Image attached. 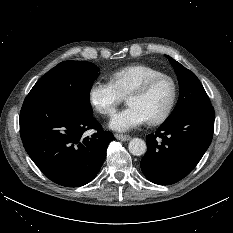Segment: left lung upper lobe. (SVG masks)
Wrapping results in <instances>:
<instances>
[{
    "label": "left lung upper lobe",
    "mask_w": 233,
    "mask_h": 233,
    "mask_svg": "<svg viewBox=\"0 0 233 233\" xmlns=\"http://www.w3.org/2000/svg\"><path fill=\"white\" fill-rule=\"evenodd\" d=\"M166 57L177 74L180 95L174 111L164 123L174 121L193 109L211 106L210 99L196 75L170 56Z\"/></svg>",
    "instance_id": "left-lung-upper-lobe-1"
}]
</instances>
